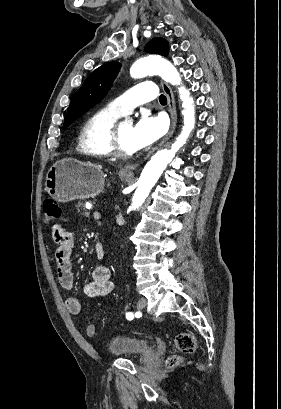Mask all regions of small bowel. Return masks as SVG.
Returning a JSON list of instances; mask_svg holds the SVG:
<instances>
[{
	"label": "small bowel",
	"instance_id": "c3829d8e",
	"mask_svg": "<svg viewBox=\"0 0 281 409\" xmlns=\"http://www.w3.org/2000/svg\"><path fill=\"white\" fill-rule=\"evenodd\" d=\"M52 236L56 244L55 259L60 286L64 290H71L74 283L72 271L74 235L63 226L55 225L52 229ZM94 253L98 259H102L105 256V249L102 243H95ZM114 287L111 269L107 266L99 265L93 269L91 278L85 286V292L89 297L102 298L111 294ZM65 305L70 314L77 315L81 312L80 303L75 297L66 298Z\"/></svg>",
	"mask_w": 281,
	"mask_h": 409
}]
</instances>
